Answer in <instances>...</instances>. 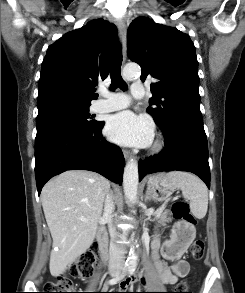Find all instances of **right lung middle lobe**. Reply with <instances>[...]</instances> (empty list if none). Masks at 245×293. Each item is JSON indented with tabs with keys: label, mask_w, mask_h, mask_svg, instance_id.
<instances>
[{
	"label": "right lung middle lobe",
	"mask_w": 245,
	"mask_h": 293,
	"mask_svg": "<svg viewBox=\"0 0 245 293\" xmlns=\"http://www.w3.org/2000/svg\"><path fill=\"white\" fill-rule=\"evenodd\" d=\"M90 105L58 103L38 108L35 145L63 130L87 129L97 124L89 114Z\"/></svg>",
	"instance_id": "dd1d6c3e"
}]
</instances>
